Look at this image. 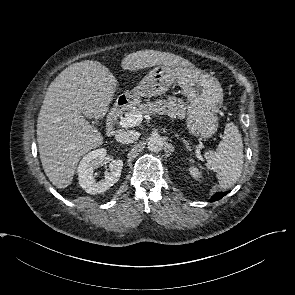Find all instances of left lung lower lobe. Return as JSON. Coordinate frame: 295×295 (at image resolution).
<instances>
[{"label":"left lung lower lobe","mask_w":295,"mask_h":295,"mask_svg":"<svg viewBox=\"0 0 295 295\" xmlns=\"http://www.w3.org/2000/svg\"><path fill=\"white\" fill-rule=\"evenodd\" d=\"M228 192H218L216 193L215 195L212 196V198L209 200L210 202H214V201H217L219 199H221L224 195H226Z\"/></svg>","instance_id":"obj_1"}]
</instances>
